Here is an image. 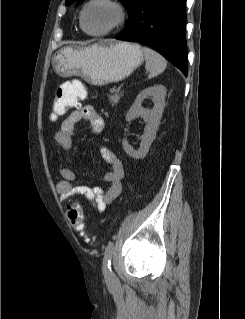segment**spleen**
I'll return each instance as SVG.
<instances>
[{"mask_svg":"<svg viewBox=\"0 0 245 319\" xmlns=\"http://www.w3.org/2000/svg\"><path fill=\"white\" fill-rule=\"evenodd\" d=\"M142 51L146 59L145 68L149 72L148 78H153L166 69L167 62L159 53L148 47H143Z\"/></svg>","mask_w":245,"mask_h":319,"instance_id":"3e777b00","label":"spleen"}]
</instances>
